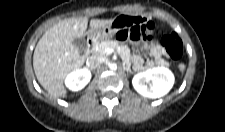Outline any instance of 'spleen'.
I'll list each match as a JSON object with an SVG mask.
<instances>
[{
	"mask_svg": "<svg viewBox=\"0 0 225 132\" xmlns=\"http://www.w3.org/2000/svg\"><path fill=\"white\" fill-rule=\"evenodd\" d=\"M178 68L180 69L181 72L185 70V64H179Z\"/></svg>",
	"mask_w": 225,
	"mask_h": 132,
	"instance_id": "1",
	"label": "spleen"
}]
</instances>
